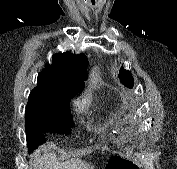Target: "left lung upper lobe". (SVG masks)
<instances>
[{
    "label": "left lung upper lobe",
    "instance_id": "5c2ea615",
    "mask_svg": "<svg viewBox=\"0 0 177 169\" xmlns=\"http://www.w3.org/2000/svg\"><path fill=\"white\" fill-rule=\"evenodd\" d=\"M119 76L124 85H126L127 87H132V82L125 76L124 73H119Z\"/></svg>",
    "mask_w": 177,
    "mask_h": 169
}]
</instances>
